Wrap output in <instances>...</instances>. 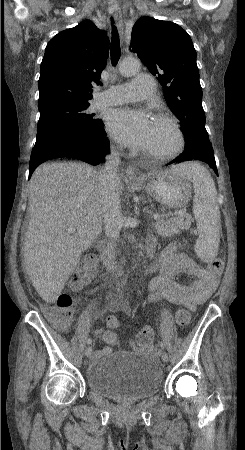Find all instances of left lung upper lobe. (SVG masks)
Instances as JSON below:
<instances>
[{"label": "left lung upper lobe", "mask_w": 245, "mask_h": 450, "mask_svg": "<svg viewBox=\"0 0 245 450\" xmlns=\"http://www.w3.org/2000/svg\"><path fill=\"white\" fill-rule=\"evenodd\" d=\"M131 46L157 77L169 108L181 121L184 152L210 148L196 51L188 33L173 22L142 17L133 26Z\"/></svg>", "instance_id": "1"}]
</instances>
